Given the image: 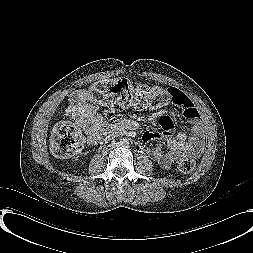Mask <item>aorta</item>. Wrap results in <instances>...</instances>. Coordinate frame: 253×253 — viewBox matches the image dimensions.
<instances>
[{"label": "aorta", "mask_w": 253, "mask_h": 253, "mask_svg": "<svg viewBox=\"0 0 253 253\" xmlns=\"http://www.w3.org/2000/svg\"><path fill=\"white\" fill-rule=\"evenodd\" d=\"M119 144H120L122 147H127L128 144H129V141H128L126 138H122V139L119 141Z\"/></svg>", "instance_id": "1"}]
</instances>
